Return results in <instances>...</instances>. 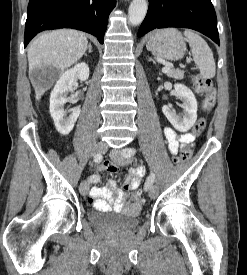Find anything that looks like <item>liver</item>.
Instances as JSON below:
<instances>
[{"label": "liver", "instance_id": "obj_1", "mask_svg": "<svg viewBox=\"0 0 247 275\" xmlns=\"http://www.w3.org/2000/svg\"><path fill=\"white\" fill-rule=\"evenodd\" d=\"M87 48V37L79 31L59 29L43 33L28 47L29 74L40 67H54L59 73H63L84 55ZM34 88L39 101L49 85H34Z\"/></svg>", "mask_w": 247, "mask_h": 275}]
</instances>
